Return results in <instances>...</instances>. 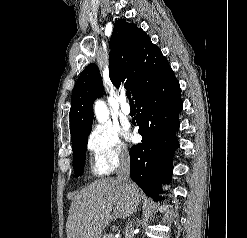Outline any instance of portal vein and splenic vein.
<instances>
[{
  "instance_id": "obj_1",
  "label": "portal vein and splenic vein",
  "mask_w": 247,
  "mask_h": 238,
  "mask_svg": "<svg viewBox=\"0 0 247 238\" xmlns=\"http://www.w3.org/2000/svg\"><path fill=\"white\" fill-rule=\"evenodd\" d=\"M108 238H113V235L112 234L108 235Z\"/></svg>"
}]
</instances>
